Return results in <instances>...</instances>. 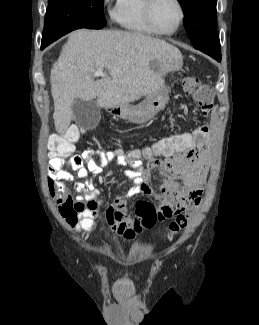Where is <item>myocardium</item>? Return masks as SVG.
Masks as SVG:
<instances>
[{
    "label": "myocardium",
    "instance_id": "myocardium-1",
    "mask_svg": "<svg viewBox=\"0 0 259 325\" xmlns=\"http://www.w3.org/2000/svg\"><path fill=\"white\" fill-rule=\"evenodd\" d=\"M156 0H145L144 3V15H145V19L148 23V25L151 27V29L160 35H164V36H169L174 34L175 32H177L179 30V28L181 27V25L184 22L185 19V8L183 3L181 2V0H174V2L177 4L178 8H179V13H180V17L178 20L177 25L175 26V28L171 31L165 32V31H161L155 24L154 19H153V7L155 5Z\"/></svg>",
    "mask_w": 259,
    "mask_h": 325
}]
</instances>
